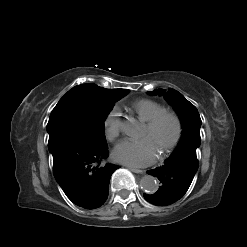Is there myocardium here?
<instances>
[{
	"label": "myocardium",
	"mask_w": 247,
	"mask_h": 247,
	"mask_svg": "<svg viewBox=\"0 0 247 247\" xmlns=\"http://www.w3.org/2000/svg\"><path fill=\"white\" fill-rule=\"evenodd\" d=\"M166 120L172 121L174 125V131L170 140L159 150L161 156L170 153L179 143L183 132L181 118L173 111L163 110L146 122L147 129L150 132H153Z\"/></svg>",
	"instance_id": "myocardium-1"
}]
</instances>
